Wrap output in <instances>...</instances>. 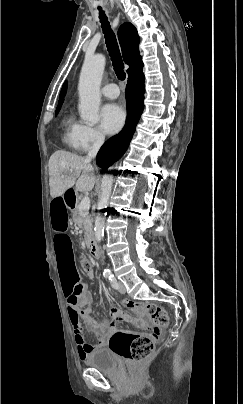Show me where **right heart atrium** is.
<instances>
[{"mask_svg": "<svg viewBox=\"0 0 243 404\" xmlns=\"http://www.w3.org/2000/svg\"><path fill=\"white\" fill-rule=\"evenodd\" d=\"M105 141V137L97 128L79 123L74 134L72 148L76 152L84 153L100 148Z\"/></svg>", "mask_w": 243, "mask_h": 404, "instance_id": "obj_1", "label": "right heart atrium"}]
</instances>
